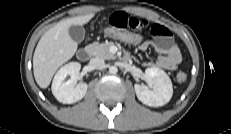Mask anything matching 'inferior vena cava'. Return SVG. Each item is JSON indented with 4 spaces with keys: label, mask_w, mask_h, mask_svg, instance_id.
Wrapping results in <instances>:
<instances>
[{
    "label": "inferior vena cava",
    "mask_w": 231,
    "mask_h": 134,
    "mask_svg": "<svg viewBox=\"0 0 231 134\" xmlns=\"http://www.w3.org/2000/svg\"><path fill=\"white\" fill-rule=\"evenodd\" d=\"M90 66L93 68H101L104 66L105 62L101 58H92L89 62Z\"/></svg>",
    "instance_id": "602c4592"
}]
</instances>
